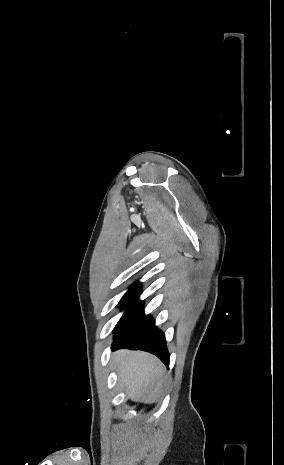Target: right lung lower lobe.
<instances>
[{
	"label": "right lung lower lobe",
	"mask_w": 284,
	"mask_h": 465,
	"mask_svg": "<svg viewBox=\"0 0 284 465\" xmlns=\"http://www.w3.org/2000/svg\"><path fill=\"white\" fill-rule=\"evenodd\" d=\"M142 304L139 302L117 324L112 350L129 348L147 351L155 354L168 367L170 357L165 335L155 326L151 316L144 315Z\"/></svg>",
	"instance_id": "obj_1"
}]
</instances>
